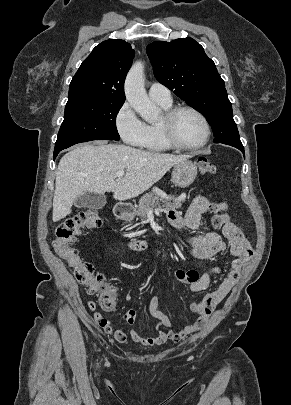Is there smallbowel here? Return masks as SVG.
Returning <instances> with one entry per match:
<instances>
[{"label":"small bowel","instance_id":"small-bowel-1","mask_svg":"<svg viewBox=\"0 0 291 405\" xmlns=\"http://www.w3.org/2000/svg\"><path fill=\"white\" fill-rule=\"evenodd\" d=\"M211 209L212 204L207 198L197 197L193 200L184 216H181L175 210H171L168 213V220L185 240L189 246V253L194 258L208 260L218 253L229 252L233 257V261L227 277L213 293L206 295L201 301L190 305L191 311L197 313L199 316L193 323L178 331H174L170 328L171 321L166 314L159 310V300L156 295H153L149 302V312L158 320V324L154 329L155 335L139 334L134 327L137 312L133 309L127 310L123 316V320L130 327L129 336L133 342L145 345H159L167 340L175 342L183 340L185 337L202 329L207 324L211 313L238 282L241 268L246 261L250 259L253 253L248 239L234 223H226L221 232H210L200 236H187L185 234V230L197 229L202 217L208 214ZM220 271L221 269L216 267L203 274L196 281L190 283L191 291L198 292L207 289L211 285L214 276L219 274ZM142 277L141 275L137 278ZM111 297L116 300V291L111 292ZM88 307L91 310L96 309V305L93 301L88 303ZM94 319L104 332L112 336L116 341L120 343L128 341L124 331L120 328L114 329L110 322L102 318L98 312L94 313Z\"/></svg>","mask_w":291,"mask_h":405}]
</instances>
